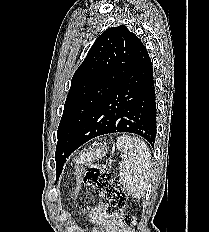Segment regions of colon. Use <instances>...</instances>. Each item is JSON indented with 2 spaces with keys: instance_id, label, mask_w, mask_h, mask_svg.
<instances>
[{
  "instance_id": "obj_1",
  "label": "colon",
  "mask_w": 209,
  "mask_h": 232,
  "mask_svg": "<svg viewBox=\"0 0 209 232\" xmlns=\"http://www.w3.org/2000/svg\"><path fill=\"white\" fill-rule=\"evenodd\" d=\"M83 182L97 192L107 204L109 216L129 227L135 225V218L125 212L126 195L114 176L102 165L90 167L84 174Z\"/></svg>"
}]
</instances>
